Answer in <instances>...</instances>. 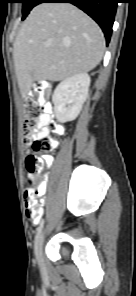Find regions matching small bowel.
Wrapping results in <instances>:
<instances>
[{
	"mask_svg": "<svg viewBox=\"0 0 136 296\" xmlns=\"http://www.w3.org/2000/svg\"><path fill=\"white\" fill-rule=\"evenodd\" d=\"M41 120H42V123H43V124L38 128V130H37V132H36V136H37V137H42V136H45V135L48 134V129H47V127L45 126V124H46V123H49V122L51 121V116H50V114H49L48 112L43 113V115H42V117H41ZM50 160H51V158H49V157H46V158H45V162H46V163L50 162ZM39 215H40V219H39V220H36V221H33L35 224H37V223L41 220V218H42V216H43V211H42V209H40V211H39Z\"/></svg>",
	"mask_w": 136,
	"mask_h": 296,
	"instance_id": "c3829d8e",
	"label": "small bowel"
}]
</instances>
